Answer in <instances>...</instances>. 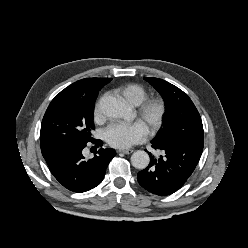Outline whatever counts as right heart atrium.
Returning a JSON list of instances; mask_svg holds the SVG:
<instances>
[{"mask_svg": "<svg viewBox=\"0 0 248 248\" xmlns=\"http://www.w3.org/2000/svg\"><path fill=\"white\" fill-rule=\"evenodd\" d=\"M101 116H102V113H101L100 103H97L95 110H94V117L96 119H100Z\"/></svg>", "mask_w": 248, "mask_h": 248, "instance_id": "obj_1", "label": "right heart atrium"}]
</instances>
